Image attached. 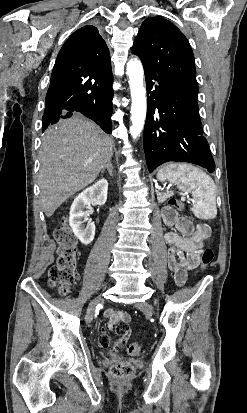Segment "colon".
I'll use <instances>...</instances> for the list:
<instances>
[{
    "mask_svg": "<svg viewBox=\"0 0 247 413\" xmlns=\"http://www.w3.org/2000/svg\"><path fill=\"white\" fill-rule=\"evenodd\" d=\"M173 204L176 209L182 207V203L176 198L167 200ZM55 240L58 243L59 259L56 264L52 265L48 271V283L51 288L65 296L69 292V287L78 281L76 271L79 257L76 238L70 228L67 226L65 219H60L54 231ZM214 252L210 248L203 250L200 256V267L202 272H207L210 263L213 262ZM130 354H138L141 346L138 342H132L128 346ZM134 368L129 363H120L112 368L114 381H131Z\"/></svg>",
    "mask_w": 247,
    "mask_h": 413,
    "instance_id": "colon-1",
    "label": "colon"
}]
</instances>
